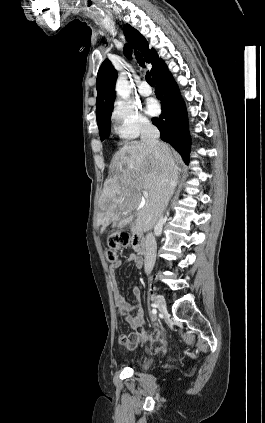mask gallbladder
I'll return each instance as SVG.
<instances>
[{"mask_svg":"<svg viewBox=\"0 0 265 423\" xmlns=\"http://www.w3.org/2000/svg\"><path fill=\"white\" fill-rule=\"evenodd\" d=\"M131 220H133L135 218V215H131L130 216ZM130 222L126 219H124L123 217L119 218L118 220H116V222L114 223L115 226L117 227H123L126 226L127 224H129Z\"/></svg>","mask_w":265,"mask_h":423,"instance_id":"obj_1","label":"gallbladder"}]
</instances>
